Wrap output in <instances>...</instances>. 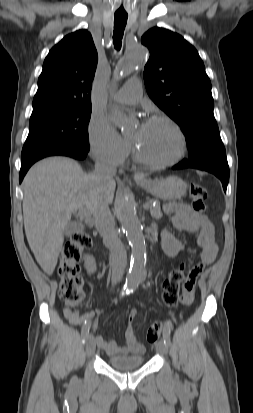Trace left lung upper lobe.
<instances>
[{"label":"left lung upper lobe","instance_id":"left-lung-upper-lobe-1","mask_svg":"<svg viewBox=\"0 0 253 413\" xmlns=\"http://www.w3.org/2000/svg\"><path fill=\"white\" fill-rule=\"evenodd\" d=\"M150 58L144 82L150 98L185 134L188 159L226 155L213 114L211 82L197 50L182 36L154 27L141 38Z\"/></svg>","mask_w":253,"mask_h":413}]
</instances>
